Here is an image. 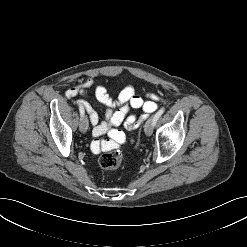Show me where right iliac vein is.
I'll use <instances>...</instances> for the list:
<instances>
[{
	"instance_id": "1",
	"label": "right iliac vein",
	"mask_w": 247,
	"mask_h": 247,
	"mask_svg": "<svg viewBox=\"0 0 247 247\" xmlns=\"http://www.w3.org/2000/svg\"><path fill=\"white\" fill-rule=\"evenodd\" d=\"M88 130V119L86 116H83V118L80 121V131L82 133H85Z\"/></svg>"
}]
</instances>
